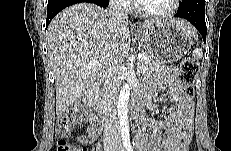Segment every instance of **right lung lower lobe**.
Returning a JSON list of instances; mask_svg holds the SVG:
<instances>
[{"label":"right lung lower lobe","mask_w":231,"mask_h":151,"mask_svg":"<svg viewBox=\"0 0 231 151\" xmlns=\"http://www.w3.org/2000/svg\"><path fill=\"white\" fill-rule=\"evenodd\" d=\"M81 2L94 3L104 8L107 7L109 4V0H49L47 7L46 27L48 26L52 18L62 9H64L67 6Z\"/></svg>","instance_id":"obj_1"}]
</instances>
